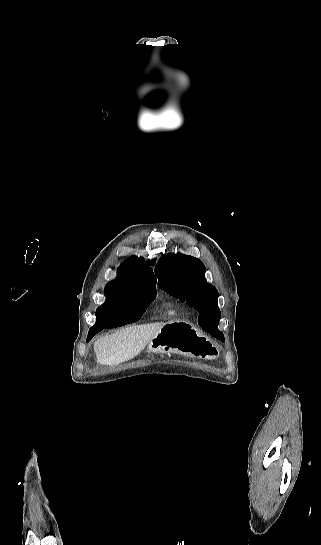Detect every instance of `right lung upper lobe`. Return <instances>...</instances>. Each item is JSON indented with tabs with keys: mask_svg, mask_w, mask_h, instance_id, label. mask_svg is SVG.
Here are the masks:
<instances>
[{
	"mask_svg": "<svg viewBox=\"0 0 321 545\" xmlns=\"http://www.w3.org/2000/svg\"><path fill=\"white\" fill-rule=\"evenodd\" d=\"M151 264H154V262L151 261ZM117 276L115 280L110 281L106 286L129 290L156 289V278L143 258L133 256L127 259L121 264Z\"/></svg>",
	"mask_w": 321,
	"mask_h": 545,
	"instance_id": "obj_1",
	"label": "right lung upper lobe"
}]
</instances>
